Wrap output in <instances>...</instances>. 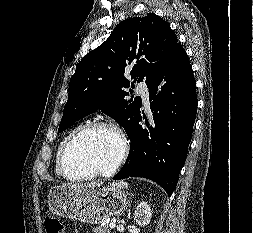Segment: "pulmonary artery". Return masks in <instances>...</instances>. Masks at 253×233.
<instances>
[{"label": "pulmonary artery", "mask_w": 253, "mask_h": 233, "mask_svg": "<svg viewBox=\"0 0 253 233\" xmlns=\"http://www.w3.org/2000/svg\"><path fill=\"white\" fill-rule=\"evenodd\" d=\"M136 92L142 97L143 103L149 105V89L145 83H139L136 87Z\"/></svg>", "instance_id": "pulmonary-artery-1"}]
</instances>
